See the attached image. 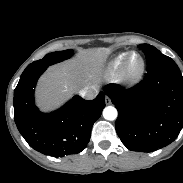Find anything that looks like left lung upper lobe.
<instances>
[{
  "instance_id": "5c2ea615",
  "label": "left lung upper lobe",
  "mask_w": 183,
  "mask_h": 183,
  "mask_svg": "<svg viewBox=\"0 0 183 183\" xmlns=\"http://www.w3.org/2000/svg\"><path fill=\"white\" fill-rule=\"evenodd\" d=\"M138 47L145 53L147 71L176 64L170 57L162 54L158 49L149 44H140Z\"/></svg>"
}]
</instances>
